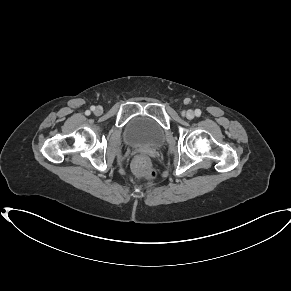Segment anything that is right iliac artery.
Here are the masks:
<instances>
[{
  "label": "right iliac artery",
  "mask_w": 291,
  "mask_h": 291,
  "mask_svg": "<svg viewBox=\"0 0 291 291\" xmlns=\"http://www.w3.org/2000/svg\"><path fill=\"white\" fill-rule=\"evenodd\" d=\"M95 109V107L94 106H92L91 107V110H94ZM90 114V111H86V115H89Z\"/></svg>",
  "instance_id": "82829eb1"
}]
</instances>
